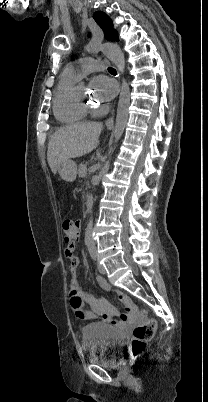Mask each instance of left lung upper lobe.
<instances>
[{
  "label": "left lung upper lobe",
  "mask_w": 208,
  "mask_h": 402,
  "mask_svg": "<svg viewBox=\"0 0 208 402\" xmlns=\"http://www.w3.org/2000/svg\"><path fill=\"white\" fill-rule=\"evenodd\" d=\"M94 19L97 24L102 28L105 34V38L110 41H117L118 34L113 29V24L111 19L103 12L98 11L94 14Z\"/></svg>",
  "instance_id": "5c2ea615"
}]
</instances>
